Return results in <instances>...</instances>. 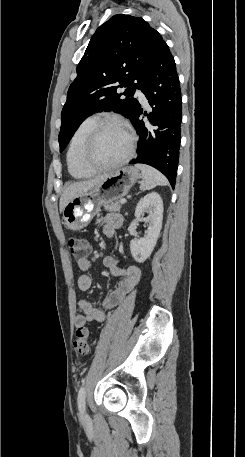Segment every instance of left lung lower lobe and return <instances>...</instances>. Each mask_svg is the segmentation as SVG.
Returning a JSON list of instances; mask_svg holds the SVG:
<instances>
[{
  "label": "left lung lower lobe",
  "mask_w": 245,
  "mask_h": 457,
  "mask_svg": "<svg viewBox=\"0 0 245 457\" xmlns=\"http://www.w3.org/2000/svg\"><path fill=\"white\" fill-rule=\"evenodd\" d=\"M139 90L147 98L152 113H143L139 104L131 119L140 140L138 155L130 164L151 165L174 188L181 142L182 97L175 61L163 39L152 52ZM141 115L148 117L149 124L139 119Z\"/></svg>",
  "instance_id": "left-lung-lower-lobe-1"
}]
</instances>
